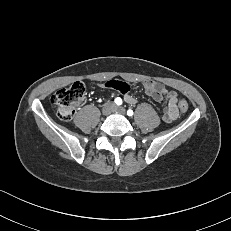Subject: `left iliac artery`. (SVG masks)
<instances>
[{
  "label": "left iliac artery",
  "instance_id": "left-iliac-artery-1",
  "mask_svg": "<svg viewBox=\"0 0 231 231\" xmlns=\"http://www.w3.org/2000/svg\"><path fill=\"white\" fill-rule=\"evenodd\" d=\"M127 114H128L129 116H132V115H133V111H132L131 109H129V110L127 111Z\"/></svg>",
  "mask_w": 231,
  "mask_h": 231
}]
</instances>
